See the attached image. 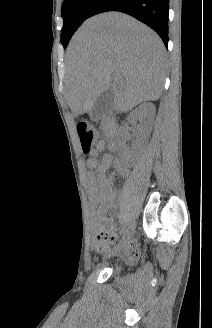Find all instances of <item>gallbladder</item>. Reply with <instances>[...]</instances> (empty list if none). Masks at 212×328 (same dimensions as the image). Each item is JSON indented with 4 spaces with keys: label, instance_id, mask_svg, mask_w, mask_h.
<instances>
[{
    "label": "gallbladder",
    "instance_id": "obj_1",
    "mask_svg": "<svg viewBox=\"0 0 212 328\" xmlns=\"http://www.w3.org/2000/svg\"><path fill=\"white\" fill-rule=\"evenodd\" d=\"M114 106V93L111 89L104 91L100 94L92 108L89 111V116L91 120L97 121L106 113L110 112Z\"/></svg>",
    "mask_w": 212,
    "mask_h": 328
}]
</instances>
